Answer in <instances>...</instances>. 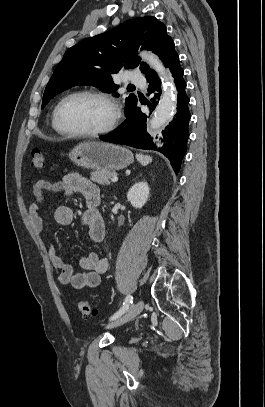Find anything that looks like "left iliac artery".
<instances>
[{"instance_id": "left-iliac-artery-1", "label": "left iliac artery", "mask_w": 265, "mask_h": 407, "mask_svg": "<svg viewBox=\"0 0 265 407\" xmlns=\"http://www.w3.org/2000/svg\"><path fill=\"white\" fill-rule=\"evenodd\" d=\"M132 302L133 297L131 295H128L123 303V306L110 318V320H115L122 314H124L128 310L129 306L132 304Z\"/></svg>"}]
</instances>
